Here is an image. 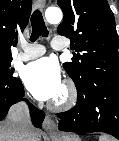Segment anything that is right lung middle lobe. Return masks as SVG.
<instances>
[{
  "instance_id": "dd1d6c3e",
  "label": "right lung middle lobe",
  "mask_w": 119,
  "mask_h": 141,
  "mask_svg": "<svg viewBox=\"0 0 119 141\" xmlns=\"http://www.w3.org/2000/svg\"><path fill=\"white\" fill-rule=\"evenodd\" d=\"M12 57L0 58V82L9 83L16 79L13 76L14 70L10 68Z\"/></svg>"
}]
</instances>
